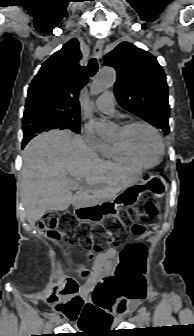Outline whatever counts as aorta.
<instances>
[{
    "mask_svg": "<svg viewBox=\"0 0 194 336\" xmlns=\"http://www.w3.org/2000/svg\"><path fill=\"white\" fill-rule=\"evenodd\" d=\"M116 80V72L112 67H104L100 70L96 78L94 79L91 86V95L96 96L103 92L104 90L112 87ZM89 127L93 129L96 134L104 139L110 140L114 135V128L111 124L98 120L96 118H91L88 123Z\"/></svg>",
    "mask_w": 194,
    "mask_h": 336,
    "instance_id": "762f6f07",
    "label": "aorta"
}]
</instances>
